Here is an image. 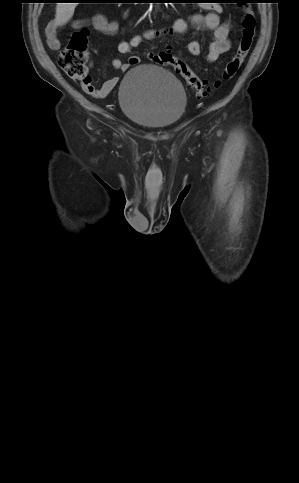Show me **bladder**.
Instances as JSON below:
<instances>
[{"mask_svg": "<svg viewBox=\"0 0 299 483\" xmlns=\"http://www.w3.org/2000/svg\"><path fill=\"white\" fill-rule=\"evenodd\" d=\"M118 100L126 117L152 129L173 126L187 108L181 81L152 64L136 65L124 75Z\"/></svg>", "mask_w": 299, "mask_h": 483, "instance_id": "bladder-1", "label": "bladder"}]
</instances>
